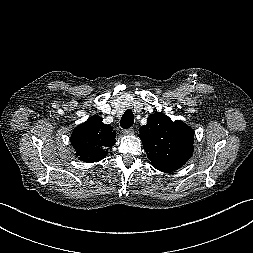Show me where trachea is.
I'll list each match as a JSON object with an SVG mask.
<instances>
[{"label":"trachea","instance_id":"obj_1","mask_svg":"<svg viewBox=\"0 0 253 253\" xmlns=\"http://www.w3.org/2000/svg\"><path fill=\"white\" fill-rule=\"evenodd\" d=\"M133 123H134V114L130 109H128L125 111L120 120V126L124 129H128L133 125Z\"/></svg>","mask_w":253,"mask_h":253}]
</instances>
